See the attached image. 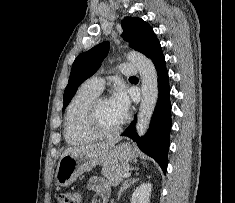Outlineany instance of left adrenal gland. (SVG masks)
<instances>
[{"label":"left adrenal gland","mask_w":235,"mask_h":203,"mask_svg":"<svg viewBox=\"0 0 235 203\" xmlns=\"http://www.w3.org/2000/svg\"><path fill=\"white\" fill-rule=\"evenodd\" d=\"M137 174V173H136ZM139 179L136 178H129L127 180H125L118 192V198L117 200H120L121 194L127 189L129 188L132 184H134L135 182H137Z\"/></svg>","instance_id":"1"}]
</instances>
